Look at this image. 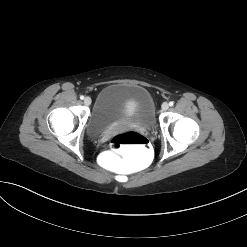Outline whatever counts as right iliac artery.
I'll use <instances>...</instances> for the list:
<instances>
[{
	"instance_id": "right-iliac-artery-1",
	"label": "right iliac artery",
	"mask_w": 247,
	"mask_h": 247,
	"mask_svg": "<svg viewBox=\"0 0 247 247\" xmlns=\"http://www.w3.org/2000/svg\"><path fill=\"white\" fill-rule=\"evenodd\" d=\"M80 99H81V100H83V99H84V96H83V95H81V96H80Z\"/></svg>"
}]
</instances>
